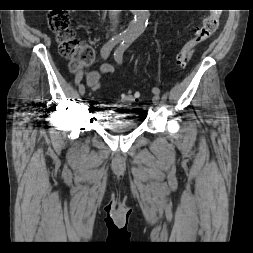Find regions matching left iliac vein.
I'll list each match as a JSON object with an SVG mask.
<instances>
[{"mask_svg": "<svg viewBox=\"0 0 253 253\" xmlns=\"http://www.w3.org/2000/svg\"><path fill=\"white\" fill-rule=\"evenodd\" d=\"M159 101H160V97L158 94H155L152 98V102L155 106H157L159 104Z\"/></svg>", "mask_w": 253, "mask_h": 253, "instance_id": "obj_1", "label": "left iliac vein"}]
</instances>
